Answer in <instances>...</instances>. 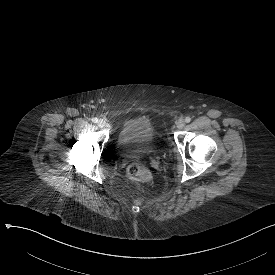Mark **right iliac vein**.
Masks as SVG:
<instances>
[{
  "mask_svg": "<svg viewBox=\"0 0 275 275\" xmlns=\"http://www.w3.org/2000/svg\"><path fill=\"white\" fill-rule=\"evenodd\" d=\"M98 125H99V127H104L105 126V121L104 120H99L98 121Z\"/></svg>",
  "mask_w": 275,
  "mask_h": 275,
  "instance_id": "right-iliac-vein-1",
  "label": "right iliac vein"
}]
</instances>
